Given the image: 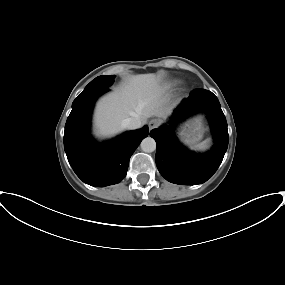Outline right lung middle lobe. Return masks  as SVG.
<instances>
[{"label":"right lung middle lobe","instance_id":"obj_1","mask_svg":"<svg viewBox=\"0 0 285 285\" xmlns=\"http://www.w3.org/2000/svg\"><path fill=\"white\" fill-rule=\"evenodd\" d=\"M115 76H99L92 80L84 89V91L78 96H82L84 94L92 93L104 88H108L114 82Z\"/></svg>","mask_w":285,"mask_h":285}]
</instances>
